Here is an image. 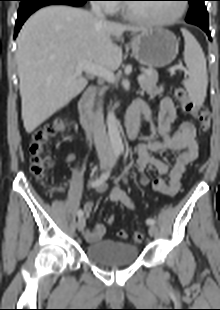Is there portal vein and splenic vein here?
Segmentation results:
<instances>
[{
	"label": "portal vein and splenic vein",
	"instance_id": "1",
	"mask_svg": "<svg viewBox=\"0 0 220 310\" xmlns=\"http://www.w3.org/2000/svg\"><path fill=\"white\" fill-rule=\"evenodd\" d=\"M175 69H184V68L177 66V67L171 69V71H174ZM77 71L78 72L85 71L86 73H88L90 75H95V76L101 77L110 83H114L116 80L115 75L112 71H110L106 68L100 67L98 65H95L94 63L87 62V61L79 62L77 65ZM137 79H138V82L140 83L141 81L144 80V75L138 76Z\"/></svg>",
	"mask_w": 220,
	"mask_h": 310
}]
</instances>
